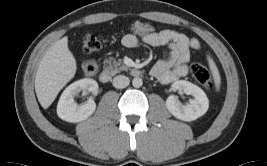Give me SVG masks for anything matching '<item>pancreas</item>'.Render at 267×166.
I'll list each match as a JSON object with an SVG mask.
<instances>
[{
  "label": "pancreas",
  "instance_id": "obj_1",
  "mask_svg": "<svg viewBox=\"0 0 267 166\" xmlns=\"http://www.w3.org/2000/svg\"><path fill=\"white\" fill-rule=\"evenodd\" d=\"M105 69L109 70L112 74H116L120 71L128 70V67L123 64L122 60H115L114 58H109L104 60Z\"/></svg>",
  "mask_w": 267,
  "mask_h": 166
}]
</instances>
